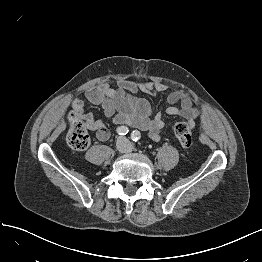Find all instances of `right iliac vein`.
Here are the masks:
<instances>
[{"instance_id":"obj_1","label":"right iliac vein","mask_w":262,"mask_h":262,"mask_svg":"<svg viewBox=\"0 0 262 262\" xmlns=\"http://www.w3.org/2000/svg\"><path fill=\"white\" fill-rule=\"evenodd\" d=\"M125 143V140L122 139L120 140V142L117 144V149L120 151V152H123L124 151V148H123V144Z\"/></svg>"}]
</instances>
